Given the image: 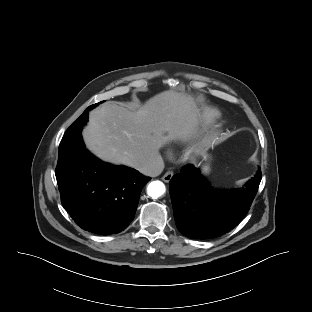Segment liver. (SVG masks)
<instances>
[{
    "label": "liver",
    "instance_id": "liver-1",
    "mask_svg": "<svg viewBox=\"0 0 312 312\" xmlns=\"http://www.w3.org/2000/svg\"><path fill=\"white\" fill-rule=\"evenodd\" d=\"M199 109L191 95L164 91L137 111L105 102L89 113L82 132L89 151L99 159L132 168L159 155L167 143L197 134Z\"/></svg>",
    "mask_w": 312,
    "mask_h": 312
}]
</instances>
